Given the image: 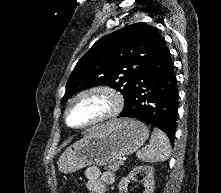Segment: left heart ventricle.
Masks as SVG:
<instances>
[{"mask_svg":"<svg viewBox=\"0 0 221 193\" xmlns=\"http://www.w3.org/2000/svg\"><path fill=\"white\" fill-rule=\"evenodd\" d=\"M103 102L99 98H84L78 101L72 108L69 120L71 124L79 125L87 122L101 111Z\"/></svg>","mask_w":221,"mask_h":193,"instance_id":"obj_1","label":"left heart ventricle"}]
</instances>
